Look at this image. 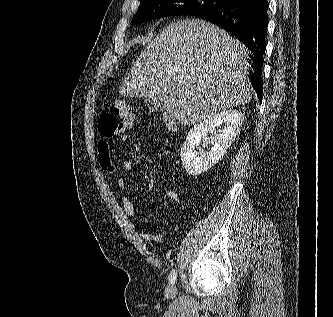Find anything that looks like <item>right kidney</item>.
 I'll return each instance as SVG.
<instances>
[{
    "label": "right kidney",
    "mask_w": 333,
    "mask_h": 317,
    "mask_svg": "<svg viewBox=\"0 0 333 317\" xmlns=\"http://www.w3.org/2000/svg\"><path fill=\"white\" fill-rule=\"evenodd\" d=\"M243 121L244 116L240 111L229 109L195 125L189 131L180 153L186 172L192 176L203 174L221 160L239 134ZM220 125H223V129L218 132L216 127ZM208 133L211 136L206 140ZM201 139L205 140L208 151L199 147ZM196 149H199V152Z\"/></svg>",
    "instance_id": "right-kidney-1"
}]
</instances>
